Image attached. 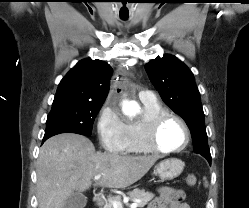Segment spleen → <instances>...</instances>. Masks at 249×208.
Returning a JSON list of instances; mask_svg holds the SVG:
<instances>
[{
  "label": "spleen",
  "mask_w": 249,
  "mask_h": 208,
  "mask_svg": "<svg viewBox=\"0 0 249 208\" xmlns=\"http://www.w3.org/2000/svg\"><path fill=\"white\" fill-rule=\"evenodd\" d=\"M205 186H208V185H207V182H205Z\"/></svg>",
  "instance_id": "spleen-1"
}]
</instances>
